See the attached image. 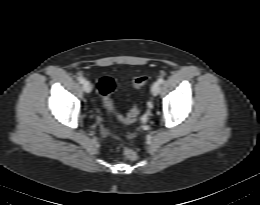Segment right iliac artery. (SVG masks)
I'll return each instance as SVG.
<instances>
[{"instance_id":"right-iliac-artery-1","label":"right iliac artery","mask_w":260,"mask_h":205,"mask_svg":"<svg viewBox=\"0 0 260 205\" xmlns=\"http://www.w3.org/2000/svg\"><path fill=\"white\" fill-rule=\"evenodd\" d=\"M78 81L83 84L85 82V79L83 77H78Z\"/></svg>"}]
</instances>
